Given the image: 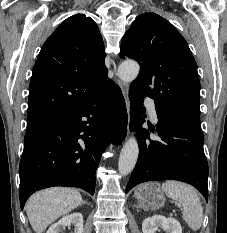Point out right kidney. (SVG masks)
Here are the masks:
<instances>
[{"instance_id":"right-kidney-1","label":"right kidney","mask_w":227,"mask_h":233,"mask_svg":"<svg viewBox=\"0 0 227 233\" xmlns=\"http://www.w3.org/2000/svg\"><path fill=\"white\" fill-rule=\"evenodd\" d=\"M71 224L74 225L73 233H83V216L79 212L64 216L53 224L46 233H59L62 227L70 226Z\"/></svg>"}]
</instances>
